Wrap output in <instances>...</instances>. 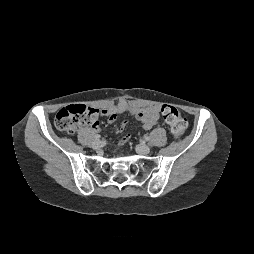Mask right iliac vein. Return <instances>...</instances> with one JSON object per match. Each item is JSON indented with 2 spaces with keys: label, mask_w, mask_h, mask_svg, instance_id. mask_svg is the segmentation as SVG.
I'll use <instances>...</instances> for the list:
<instances>
[{
  "label": "right iliac vein",
  "mask_w": 254,
  "mask_h": 254,
  "mask_svg": "<svg viewBox=\"0 0 254 254\" xmlns=\"http://www.w3.org/2000/svg\"><path fill=\"white\" fill-rule=\"evenodd\" d=\"M92 146L94 149H99L102 146V142L100 140H96Z\"/></svg>",
  "instance_id": "1"
}]
</instances>
